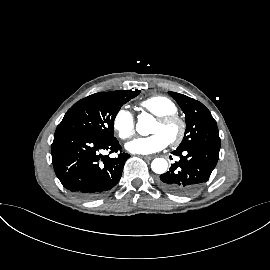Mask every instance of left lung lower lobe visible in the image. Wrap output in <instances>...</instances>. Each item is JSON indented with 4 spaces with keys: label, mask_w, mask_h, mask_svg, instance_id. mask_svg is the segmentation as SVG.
<instances>
[{
    "label": "left lung lower lobe",
    "mask_w": 270,
    "mask_h": 270,
    "mask_svg": "<svg viewBox=\"0 0 270 270\" xmlns=\"http://www.w3.org/2000/svg\"><path fill=\"white\" fill-rule=\"evenodd\" d=\"M220 148L195 145L173 151L180 157L169 171L160 175L159 185L176 195H188L202 187L209 179L219 158Z\"/></svg>",
    "instance_id": "obj_1"
}]
</instances>
